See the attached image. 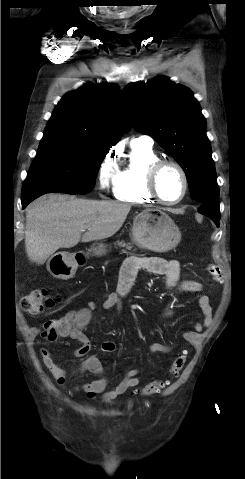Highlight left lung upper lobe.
Masks as SVG:
<instances>
[{"instance_id": "obj_1", "label": "left lung upper lobe", "mask_w": 245, "mask_h": 479, "mask_svg": "<svg viewBox=\"0 0 245 479\" xmlns=\"http://www.w3.org/2000/svg\"><path fill=\"white\" fill-rule=\"evenodd\" d=\"M133 126L151 135L184 169L192 199L201 205L219 197L206 121L193 93L155 77L124 90Z\"/></svg>"}]
</instances>
